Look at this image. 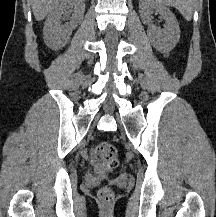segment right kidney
<instances>
[{
	"mask_svg": "<svg viewBox=\"0 0 216 217\" xmlns=\"http://www.w3.org/2000/svg\"><path fill=\"white\" fill-rule=\"evenodd\" d=\"M73 11L70 22L61 23L62 14ZM85 12V0H61L49 13L44 29V41L47 46L58 50L65 46L72 31L82 22Z\"/></svg>",
	"mask_w": 216,
	"mask_h": 217,
	"instance_id": "ca27d5eb",
	"label": "right kidney"
}]
</instances>
